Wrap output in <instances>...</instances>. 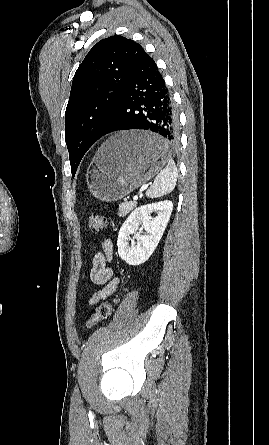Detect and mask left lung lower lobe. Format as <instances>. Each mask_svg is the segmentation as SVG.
<instances>
[{
  "label": "left lung lower lobe",
  "instance_id": "0a47b994",
  "mask_svg": "<svg viewBox=\"0 0 269 445\" xmlns=\"http://www.w3.org/2000/svg\"><path fill=\"white\" fill-rule=\"evenodd\" d=\"M127 129L155 132L171 146L178 142V117L172 97L154 60L147 53L130 76L116 113L101 137Z\"/></svg>",
  "mask_w": 269,
  "mask_h": 445
}]
</instances>
